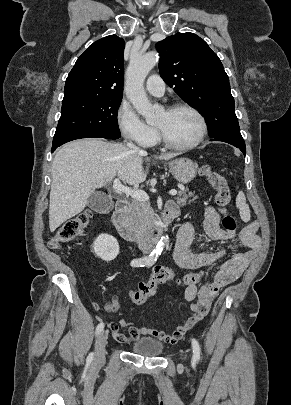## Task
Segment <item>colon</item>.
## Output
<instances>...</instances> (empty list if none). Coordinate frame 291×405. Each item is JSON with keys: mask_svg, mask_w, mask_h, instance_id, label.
Segmentation results:
<instances>
[{"mask_svg": "<svg viewBox=\"0 0 291 405\" xmlns=\"http://www.w3.org/2000/svg\"><path fill=\"white\" fill-rule=\"evenodd\" d=\"M200 174L207 178L215 190V202L221 210L224 229L229 231L235 230L236 220L226 209L230 202V191L226 178L213 170L208 164L200 167ZM90 221L91 213L89 211L82 212L78 216L66 221L51 240L50 246L54 249H59L63 244L78 238L84 233ZM201 277L202 274L200 272H193L180 277L171 268L159 265L154 268L147 281L140 283L136 289L130 292V298L135 304L141 305L152 297L162 284L175 282L186 286L197 285Z\"/></svg>", "mask_w": 291, "mask_h": 405, "instance_id": "obj_1", "label": "colon"}]
</instances>
